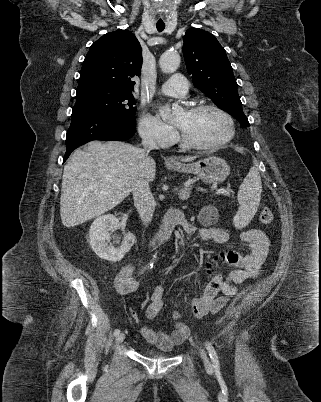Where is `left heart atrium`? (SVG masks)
Instances as JSON below:
<instances>
[{"label": "left heart atrium", "instance_id": "39dd6f15", "mask_svg": "<svg viewBox=\"0 0 321 402\" xmlns=\"http://www.w3.org/2000/svg\"><path fill=\"white\" fill-rule=\"evenodd\" d=\"M166 111H167L166 108H162L160 112H161V113H165Z\"/></svg>", "mask_w": 321, "mask_h": 402}]
</instances>
